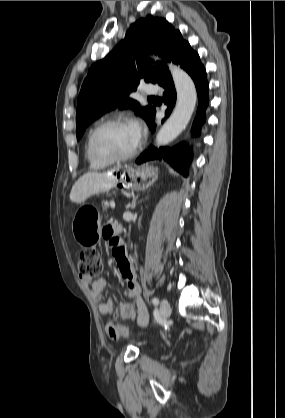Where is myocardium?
<instances>
[{
  "label": "myocardium",
  "instance_id": "1",
  "mask_svg": "<svg viewBox=\"0 0 285 418\" xmlns=\"http://www.w3.org/2000/svg\"><path fill=\"white\" fill-rule=\"evenodd\" d=\"M121 125H127L126 121L123 118H120V117L108 118L100 122L99 124H97L96 127L91 131L87 140V146H88V150L90 154L95 159L104 163L113 164V163H119V162L130 160L136 155L139 149V141L136 142L134 148L130 152L121 156L110 154L100 149L97 146L96 139L101 131L111 126H121Z\"/></svg>",
  "mask_w": 285,
  "mask_h": 418
}]
</instances>
